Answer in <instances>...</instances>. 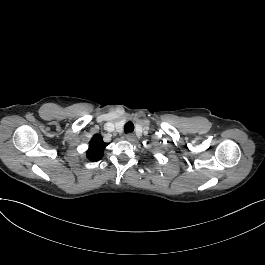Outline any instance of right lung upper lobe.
Here are the masks:
<instances>
[{
    "label": "right lung upper lobe",
    "instance_id": "right-lung-upper-lobe-1",
    "mask_svg": "<svg viewBox=\"0 0 265 265\" xmlns=\"http://www.w3.org/2000/svg\"><path fill=\"white\" fill-rule=\"evenodd\" d=\"M108 143L103 142L102 137L95 134L89 142V149L87 150V158L91 161L100 160L103 156L104 149Z\"/></svg>",
    "mask_w": 265,
    "mask_h": 265
}]
</instances>
